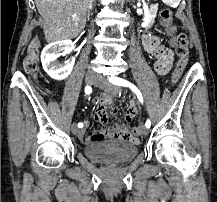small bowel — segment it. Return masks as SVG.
Returning a JSON list of instances; mask_svg holds the SVG:
<instances>
[{
  "label": "small bowel",
  "instance_id": "1",
  "mask_svg": "<svg viewBox=\"0 0 217 202\" xmlns=\"http://www.w3.org/2000/svg\"><path fill=\"white\" fill-rule=\"evenodd\" d=\"M142 43L146 52L158 59V62L155 65V71L160 75L166 74L173 60L172 51L164 46L159 38L154 35H144L142 37ZM112 102L113 96L109 92H104L98 97L93 113V119L99 122L102 127L92 133L89 137H85L84 133L80 132L78 136L82 142L92 144L105 138H109L133 144L139 143V136L142 131H131V128H129L127 124L107 126L108 115L106 110L111 108L112 114L115 112V109L112 108ZM137 113V104L134 101H131L125 111L126 122H131L136 117Z\"/></svg>",
  "mask_w": 217,
  "mask_h": 202
}]
</instances>
